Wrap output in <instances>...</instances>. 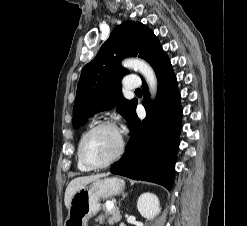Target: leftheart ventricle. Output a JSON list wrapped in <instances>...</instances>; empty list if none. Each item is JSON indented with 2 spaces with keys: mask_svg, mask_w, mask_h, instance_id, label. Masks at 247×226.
<instances>
[{
  "mask_svg": "<svg viewBox=\"0 0 247 226\" xmlns=\"http://www.w3.org/2000/svg\"><path fill=\"white\" fill-rule=\"evenodd\" d=\"M119 147V136L113 129L102 128L91 133L84 142V155L91 164L108 161Z\"/></svg>",
  "mask_w": 247,
  "mask_h": 226,
  "instance_id": "1",
  "label": "left heart ventricle"
}]
</instances>
